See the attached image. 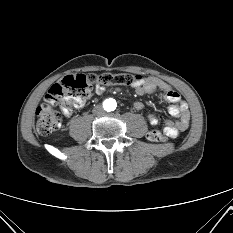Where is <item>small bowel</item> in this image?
<instances>
[{"label":"small bowel","instance_id":"small-bowel-1","mask_svg":"<svg viewBox=\"0 0 233 233\" xmlns=\"http://www.w3.org/2000/svg\"><path fill=\"white\" fill-rule=\"evenodd\" d=\"M132 88L138 95H146V94H154L157 92H161L163 98L170 103L168 107L169 114L175 118V120H166L164 122V133L171 137L176 138L183 131L188 128L189 125V109L186 102H184L179 93L174 90L167 82L155 77L148 76L142 78V80L133 85ZM105 91V87L102 85H96L95 92L100 94ZM86 102L82 101L75 105L77 109L84 108ZM134 107L137 110H142L144 105L142 102H135ZM65 117H70L72 115V110L70 108H65L62 110ZM147 121L150 125H157L158 118L153 113H148L146 115Z\"/></svg>","mask_w":233,"mask_h":233}]
</instances>
